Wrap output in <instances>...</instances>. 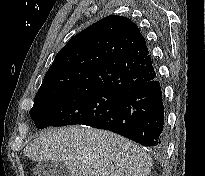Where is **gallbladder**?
I'll return each instance as SVG.
<instances>
[{"label":"gallbladder","mask_w":205,"mask_h":176,"mask_svg":"<svg viewBox=\"0 0 205 176\" xmlns=\"http://www.w3.org/2000/svg\"><path fill=\"white\" fill-rule=\"evenodd\" d=\"M34 176H69L67 167L55 161L38 162L34 167Z\"/></svg>","instance_id":"bac80fb5"}]
</instances>
